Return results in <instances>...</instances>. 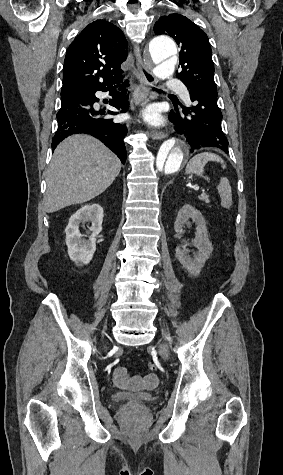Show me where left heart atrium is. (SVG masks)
Here are the masks:
<instances>
[{"label": "left heart atrium", "instance_id": "obj_1", "mask_svg": "<svg viewBox=\"0 0 283 475\" xmlns=\"http://www.w3.org/2000/svg\"><path fill=\"white\" fill-rule=\"evenodd\" d=\"M142 118L145 123L150 126H159L162 123V118L158 109L155 106H149L142 112Z\"/></svg>", "mask_w": 283, "mask_h": 475}]
</instances>
